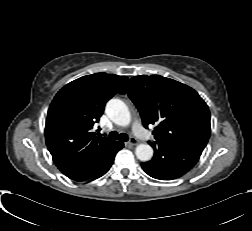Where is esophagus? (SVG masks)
<instances>
[{"instance_id":"esophagus-1","label":"esophagus","mask_w":252,"mask_h":231,"mask_svg":"<svg viewBox=\"0 0 252 231\" xmlns=\"http://www.w3.org/2000/svg\"><path fill=\"white\" fill-rule=\"evenodd\" d=\"M137 143H138V141L135 138L131 137L130 140L128 142H126V145L134 146Z\"/></svg>"}]
</instances>
